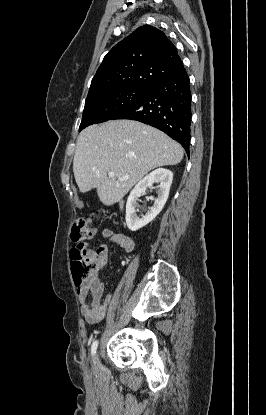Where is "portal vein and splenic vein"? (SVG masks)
Here are the masks:
<instances>
[{
	"label": "portal vein and splenic vein",
	"mask_w": 266,
	"mask_h": 415,
	"mask_svg": "<svg viewBox=\"0 0 266 415\" xmlns=\"http://www.w3.org/2000/svg\"><path fill=\"white\" fill-rule=\"evenodd\" d=\"M108 176H109V178H113L114 176H115V173L114 172H109L108 173ZM129 178V176H124V177H121V178H119L120 180H126V179H128Z\"/></svg>",
	"instance_id": "obj_1"
}]
</instances>
